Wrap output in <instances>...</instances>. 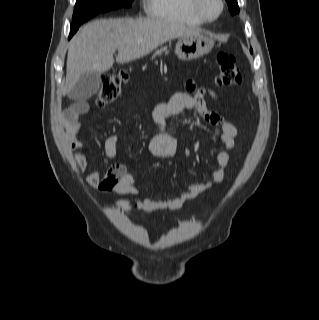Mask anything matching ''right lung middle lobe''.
I'll use <instances>...</instances> for the list:
<instances>
[{
  "label": "right lung middle lobe",
  "mask_w": 319,
  "mask_h": 320,
  "mask_svg": "<svg viewBox=\"0 0 319 320\" xmlns=\"http://www.w3.org/2000/svg\"><path fill=\"white\" fill-rule=\"evenodd\" d=\"M132 2L133 0H77L70 31H77L83 22L98 13L118 8H128L132 6Z\"/></svg>",
  "instance_id": "1"
}]
</instances>
